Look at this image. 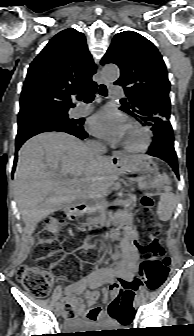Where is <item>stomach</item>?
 <instances>
[{"label": "stomach", "mask_w": 194, "mask_h": 336, "mask_svg": "<svg viewBox=\"0 0 194 336\" xmlns=\"http://www.w3.org/2000/svg\"><path fill=\"white\" fill-rule=\"evenodd\" d=\"M123 174H137L138 187L149 192L151 195L160 194L163 186V177L158 172L155 164L146 156H131L128 161L124 157L117 158L115 161Z\"/></svg>", "instance_id": "1"}]
</instances>
